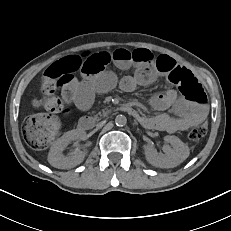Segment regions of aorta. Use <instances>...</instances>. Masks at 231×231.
Segmentation results:
<instances>
[{"label":"aorta","mask_w":231,"mask_h":231,"mask_svg":"<svg viewBox=\"0 0 231 231\" xmlns=\"http://www.w3.org/2000/svg\"><path fill=\"white\" fill-rule=\"evenodd\" d=\"M127 123V118L124 115H117L115 117V124L119 127L125 126Z\"/></svg>","instance_id":"762f6f07"}]
</instances>
